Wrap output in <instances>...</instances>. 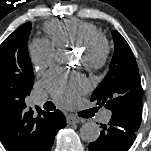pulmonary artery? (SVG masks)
I'll use <instances>...</instances> for the list:
<instances>
[{
	"label": "pulmonary artery",
	"instance_id": "pulmonary-artery-1",
	"mask_svg": "<svg viewBox=\"0 0 151 151\" xmlns=\"http://www.w3.org/2000/svg\"><path fill=\"white\" fill-rule=\"evenodd\" d=\"M46 102V98L43 95H37L35 97V103L37 105H42ZM101 120L103 122H107L111 118V112L109 110H104L100 116Z\"/></svg>",
	"mask_w": 151,
	"mask_h": 151
}]
</instances>
